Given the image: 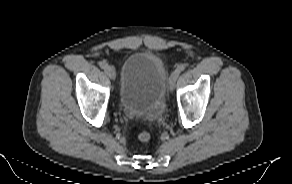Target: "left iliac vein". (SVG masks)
Returning <instances> with one entry per match:
<instances>
[{
  "label": "left iliac vein",
  "mask_w": 292,
  "mask_h": 184,
  "mask_svg": "<svg viewBox=\"0 0 292 184\" xmlns=\"http://www.w3.org/2000/svg\"><path fill=\"white\" fill-rule=\"evenodd\" d=\"M179 74L177 71H173L171 76H170V79H169V91L172 92L175 88V83H176V80L178 78Z\"/></svg>",
  "instance_id": "left-iliac-vein-1"
}]
</instances>
